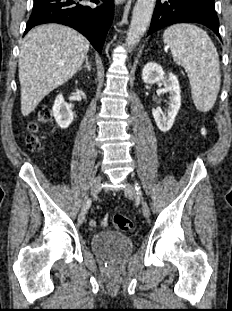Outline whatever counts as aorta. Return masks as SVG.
Here are the masks:
<instances>
[{"label": "aorta", "mask_w": 232, "mask_h": 311, "mask_svg": "<svg viewBox=\"0 0 232 311\" xmlns=\"http://www.w3.org/2000/svg\"><path fill=\"white\" fill-rule=\"evenodd\" d=\"M156 0H137L128 29L126 44L134 47L142 38L151 21Z\"/></svg>", "instance_id": "aorta-1"}]
</instances>
